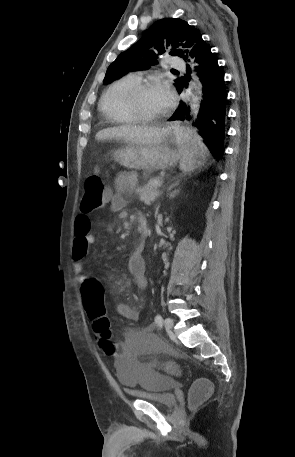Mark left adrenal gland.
Masks as SVG:
<instances>
[{"mask_svg": "<svg viewBox=\"0 0 295 457\" xmlns=\"http://www.w3.org/2000/svg\"><path fill=\"white\" fill-rule=\"evenodd\" d=\"M178 184H179V181H177L173 186H171V187L169 188V190H170L171 188H173L174 186H177ZM179 191H180V190H175V191H173V192L170 194V198L175 197V196L179 193Z\"/></svg>", "mask_w": 295, "mask_h": 457, "instance_id": "left-adrenal-gland-1", "label": "left adrenal gland"}]
</instances>
